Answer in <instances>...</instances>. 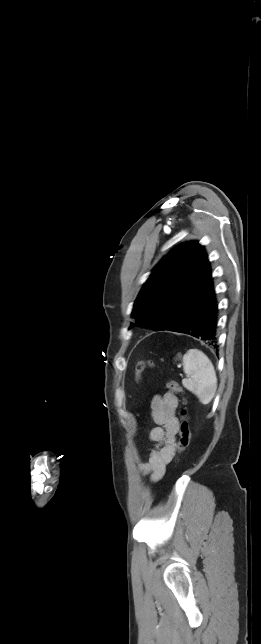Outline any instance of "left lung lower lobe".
<instances>
[{
	"label": "left lung lower lobe",
	"mask_w": 261,
	"mask_h": 644,
	"mask_svg": "<svg viewBox=\"0 0 261 644\" xmlns=\"http://www.w3.org/2000/svg\"><path fill=\"white\" fill-rule=\"evenodd\" d=\"M218 301L214 288L187 316L168 331L184 333L217 348Z\"/></svg>",
	"instance_id": "1"
}]
</instances>
